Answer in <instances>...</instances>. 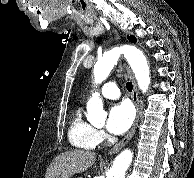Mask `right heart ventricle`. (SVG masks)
Returning a JSON list of instances; mask_svg holds the SVG:
<instances>
[{
	"mask_svg": "<svg viewBox=\"0 0 194 178\" xmlns=\"http://www.w3.org/2000/svg\"><path fill=\"white\" fill-rule=\"evenodd\" d=\"M68 139L72 146L79 149H93L98 144L95 128L84 119L82 107H78L72 115Z\"/></svg>",
	"mask_w": 194,
	"mask_h": 178,
	"instance_id": "right-heart-ventricle-1",
	"label": "right heart ventricle"
}]
</instances>
